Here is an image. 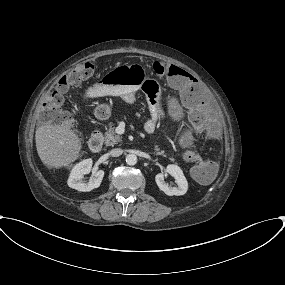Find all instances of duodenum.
<instances>
[{"label": "duodenum", "instance_id": "duodenum-1", "mask_svg": "<svg viewBox=\"0 0 285 285\" xmlns=\"http://www.w3.org/2000/svg\"><path fill=\"white\" fill-rule=\"evenodd\" d=\"M90 149L93 152H98L101 150L103 145V135L101 131H94L90 141H89Z\"/></svg>", "mask_w": 285, "mask_h": 285}]
</instances>
